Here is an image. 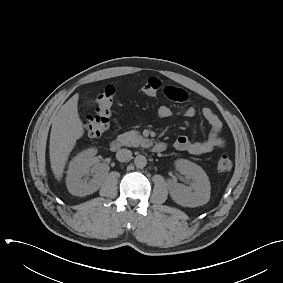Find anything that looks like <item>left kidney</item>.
<instances>
[{
    "label": "left kidney",
    "instance_id": "1",
    "mask_svg": "<svg viewBox=\"0 0 283 283\" xmlns=\"http://www.w3.org/2000/svg\"><path fill=\"white\" fill-rule=\"evenodd\" d=\"M177 170L192 179L188 187L174 180L168 182L171 198L179 205L197 207L206 204L210 199V182L205 171L195 163L179 159L175 162Z\"/></svg>",
    "mask_w": 283,
    "mask_h": 283
}]
</instances>
